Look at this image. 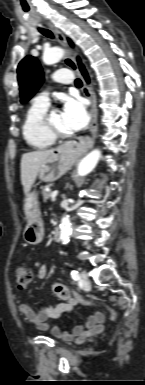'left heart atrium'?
I'll return each instance as SVG.
<instances>
[{
  "label": "left heart atrium",
  "instance_id": "1",
  "mask_svg": "<svg viewBox=\"0 0 145 385\" xmlns=\"http://www.w3.org/2000/svg\"><path fill=\"white\" fill-rule=\"evenodd\" d=\"M62 117L66 127L71 132L83 129L89 121V115L86 107L83 101L79 98L65 99Z\"/></svg>",
  "mask_w": 145,
  "mask_h": 385
}]
</instances>
